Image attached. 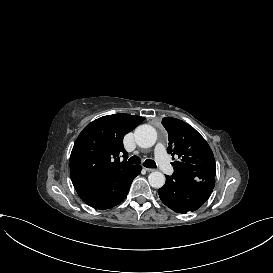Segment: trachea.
<instances>
[{
  "label": "trachea",
  "mask_w": 273,
  "mask_h": 273,
  "mask_svg": "<svg viewBox=\"0 0 273 273\" xmlns=\"http://www.w3.org/2000/svg\"><path fill=\"white\" fill-rule=\"evenodd\" d=\"M128 162L131 163V164H140L141 161H140V158L138 156H132V157L129 158ZM143 165L146 168H157L156 163L154 162V160H150V159L145 160Z\"/></svg>",
  "instance_id": "1"
}]
</instances>
